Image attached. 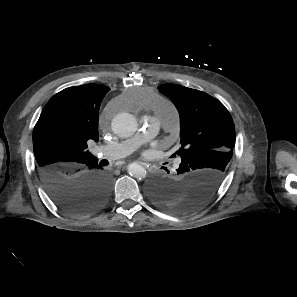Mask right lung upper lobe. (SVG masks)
<instances>
[{
  "instance_id": "1",
  "label": "right lung upper lobe",
  "mask_w": 297,
  "mask_h": 297,
  "mask_svg": "<svg viewBox=\"0 0 297 297\" xmlns=\"http://www.w3.org/2000/svg\"><path fill=\"white\" fill-rule=\"evenodd\" d=\"M109 90L99 84L69 87L48 101L33 131L38 169L75 168L96 160L85 149L89 139L99 140V108Z\"/></svg>"
}]
</instances>
